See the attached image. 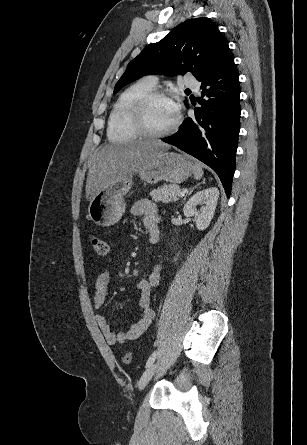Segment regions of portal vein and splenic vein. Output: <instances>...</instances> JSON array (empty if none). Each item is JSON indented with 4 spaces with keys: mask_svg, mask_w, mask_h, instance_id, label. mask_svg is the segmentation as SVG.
Here are the masks:
<instances>
[{
    "mask_svg": "<svg viewBox=\"0 0 307 445\" xmlns=\"http://www.w3.org/2000/svg\"><path fill=\"white\" fill-rule=\"evenodd\" d=\"M178 196H184V192H179Z\"/></svg>",
    "mask_w": 307,
    "mask_h": 445,
    "instance_id": "portal-vein-and-splenic-vein-1",
    "label": "portal vein and splenic vein"
}]
</instances>
